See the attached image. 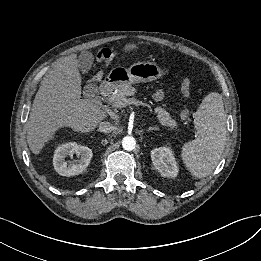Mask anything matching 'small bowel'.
<instances>
[{"label": "small bowel", "mask_w": 261, "mask_h": 261, "mask_svg": "<svg viewBox=\"0 0 261 261\" xmlns=\"http://www.w3.org/2000/svg\"><path fill=\"white\" fill-rule=\"evenodd\" d=\"M182 82H186L189 84V81L187 79H184ZM163 97L162 91H157V93L155 94V98L156 100H161ZM188 114V110L184 109L183 113L181 114L182 118L185 119L187 117Z\"/></svg>", "instance_id": "obj_1"}]
</instances>
